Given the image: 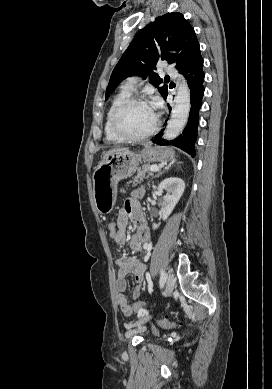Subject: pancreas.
Instances as JSON below:
<instances>
[{
    "label": "pancreas",
    "mask_w": 272,
    "mask_h": 389,
    "mask_svg": "<svg viewBox=\"0 0 272 389\" xmlns=\"http://www.w3.org/2000/svg\"><path fill=\"white\" fill-rule=\"evenodd\" d=\"M150 168H151V166L148 164L143 165L142 168H139L137 175L133 178L132 182L134 184L141 183L144 178H148V176L147 177L145 176L146 173H148V175H152Z\"/></svg>",
    "instance_id": "1"
}]
</instances>
